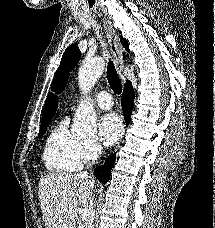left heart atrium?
<instances>
[{
    "label": "left heart atrium",
    "mask_w": 215,
    "mask_h": 228,
    "mask_svg": "<svg viewBox=\"0 0 215 228\" xmlns=\"http://www.w3.org/2000/svg\"><path fill=\"white\" fill-rule=\"evenodd\" d=\"M98 132L104 145H114L123 133V124L120 117L114 112L103 115L98 123Z\"/></svg>",
    "instance_id": "left-heart-atrium-1"
}]
</instances>
